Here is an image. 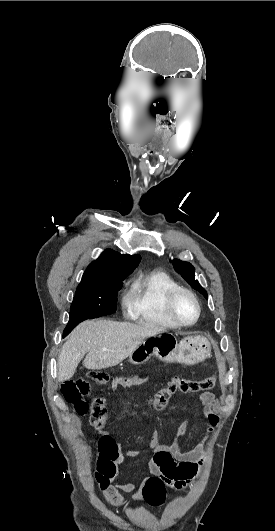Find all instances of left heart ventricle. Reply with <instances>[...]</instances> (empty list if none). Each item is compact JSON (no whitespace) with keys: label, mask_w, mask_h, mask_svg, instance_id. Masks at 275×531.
I'll use <instances>...</instances> for the list:
<instances>
[{"label":"left heart ventricle","mask_w":275,"mask_h":531,"mask_svg":"<svg viewBox=\"0 0 275 531\" xmlns=\"http://www.w3.org/2000/svg\"><path fill=\"white\" fill-rule=\"evenodd\" d=\"M174 313L182 322H191L197 314L196 304L187 294L180 293L173 302Z\"/></svg>","instance_id":"left-heart-ventricle-1"}]
</instances>
